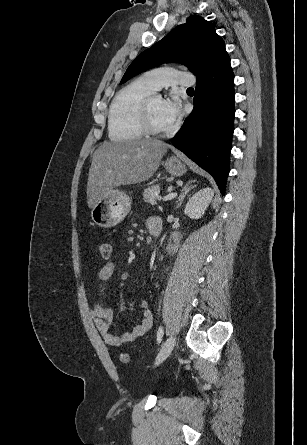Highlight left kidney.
Here are the masks:
<instances>
[{"label":"left kidney","instance_id":"1","mask_svg":"<svg viewBox=\"0 0 307 445\" xmlns=\"http://www.w3.org/2000/svg\"><path fill=\"white\" fill-rule=\"evenodd\" d=\"M214 196V190L210 188V186H206V188H202V190H198L195 192L193 196H191L190 200H188L184 212L190 218H200L202 214H204L209 202H211Z\"/></svg>","mask_w":307,"mask_h":445}]
</instances>
